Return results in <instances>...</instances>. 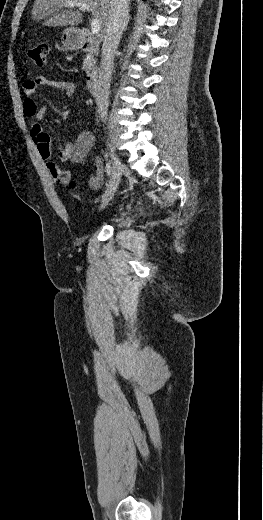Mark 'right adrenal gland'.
<instances>
[{
    "label": "right adrenal gland",
    "instance_id": "obj_1",
    "mask_svg": "<svg viewBox=\"0 0 263 520\" xmlns=\"http://www.w3.org/2000/svg\"><path fill=\"white\" fill-rule=\"evenodd\" d=\"M129 18H130V17H128V19H127V22H126V27H127V25H128V22H129ZM126 27H125V29H126Z\"/></svg>",
    "mask_w": 263,
    "mask_h": 520
}]
</instances>
